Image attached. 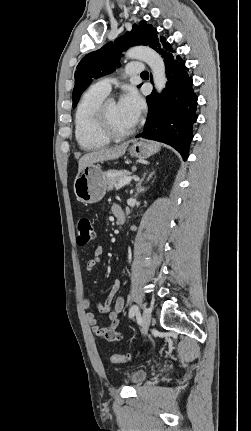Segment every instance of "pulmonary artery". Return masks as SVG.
I'll list each match as a JSON object with an SVG mask.
<instances>
[{
	"mask_svg": "<svg viewBox=\"0 0 251 431\" xmlns=\"http://www.w3.org/2000/svg\"><path fill=\"white\" fill-rule=\"evenodd\" d=\"M145 66L141 62H131L126 66L125 73L128 76L141 74ZM112 79L104 78L96 82L93 86L98 90L108 94L111 90Z\"/></svg>",
	"mask_w": 251,
	"mask_h": 431,
	"instance_id": "e3ab8cb5",
	"label": "pulmonary artery"
}]
</instances>
